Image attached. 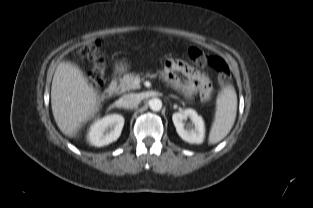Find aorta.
<instances>
[{"label":"aorta","mask_w":313,"mask_h":208,"mask_svg":"<svg viewBox=\"0 0 313 208\" xmlns=\"http://www.w3.org/2000/svg\"><path fill=\"white\" fill-rule=\"evenodd\" d=\"M149 106L153 111H160L162 108V101L158 98H153L149 101Z\"/></svg>","instance_id":"1"}]
</instances>
